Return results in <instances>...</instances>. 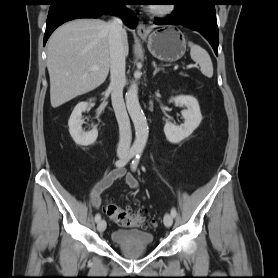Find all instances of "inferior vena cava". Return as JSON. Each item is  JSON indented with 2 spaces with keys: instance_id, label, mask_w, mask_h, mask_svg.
I'll list each match as a JSON object with an SVG mask.
<instances>
[{
  "instance_id": "inferior-vena-cava-1",
  "label": "inferior vena cava",
  "mask_w": 278,
  "mask_h": 278,
  "mask_svg": "<svg viewBox=\"0 0 278 278\" xmlns=\"http://www.w3.org/2000/svg\"><path fill=\"white\" fill-rule=\"evenodd\" d=\"M109 28L110 45V73L111 81L109 90L111 91L112 106L119 125L118 153L128 154L132 140L130 120L126 111L123 88L126 83L125 77V52L122 39V20L114 17L107 24Z\"/></svg>"
}]
</instances>
